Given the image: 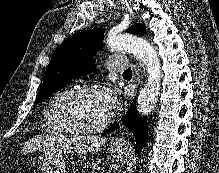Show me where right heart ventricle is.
I'll use <instances>...</instances> for the list:
<instances>
[{
	"instance_id": "obj_1",
	"label": "right heart ventricle",
	"mask_w": 219,
	"mask_h": 173,
	"mask_svg": "<svg viewBox=\"0 0 219 173\" xmlns=\"http://www.w3.org/2000/svg\"><path fill=\"white\" fill-rule=\"evenodd\" d=\"M71 90L66 88L56 92L48 101L44 112V130L54 135H69L71 132L62 124L59 116V107L62 100Z\"/></svg>"
}]
</instances>
